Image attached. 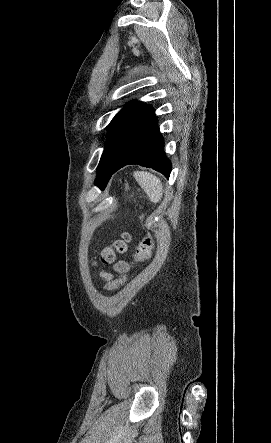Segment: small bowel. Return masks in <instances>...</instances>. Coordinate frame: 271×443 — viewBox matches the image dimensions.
Masks as SVG:
<instances>
[{"label": "small bowel", "mask_w": 271, "mask_h": 443, "mask_svg": "<svg viewBox=\"0 0 271 443\" xmlns=\"http://www.w3.org/2000/svg\"><path fill=\"white\" fill-rule=\"evenodd\" d=\"M116 269H117L118 271L125 270V269H127V264H126L125 262H119V263L116 265ZM102 276H103L105 279H107V280H109V279L111 278V276H110L109 274H107V273H103Z\"/></svg>", "instance_id": "c3829d8e"}]
</instances>
